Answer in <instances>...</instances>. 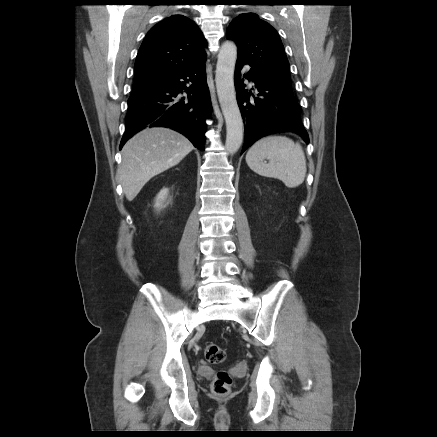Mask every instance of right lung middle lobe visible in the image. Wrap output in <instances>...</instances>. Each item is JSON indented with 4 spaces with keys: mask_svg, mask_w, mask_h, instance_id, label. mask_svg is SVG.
Wrapping results in <instances>:
<instances>
[{
    "mask_svg": "<svg viewBox=\"0 0 437 437\" xmlns=\"http://www.w3.org/2000/svg\"><path fill=\"white\" fill-rule=\"evenodd\" d=\"M158 81H143V82H135L133 86V93L144 91L155 84H157Z\"/></svg>",
    "mask_w": 437,
    "mask_h": 437,
    "instance_id": "obj_1",
    "label": "right lung middle lobe"
}]
</instances>
